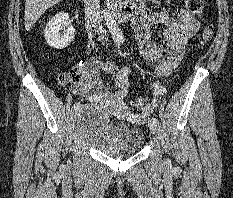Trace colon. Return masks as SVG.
I'll use <instances>...</instances> for the list:
<instances>
[{"instance_id":"colon-1","label":"colon","mask_w":233,"mask_h":198,"mask_svg":"<svg viewBox=\"0 0 233 198\" xmlns=\"http://www.w3.org/2000/svg\"><path fill=\"white\" fill-rule=\"evenodd\" d=\"M186 6L189 11L200 14L203 8V0H186ZM213 37V31L211 27H206L202 32V43L208 44ZM81 81V71L78 67L70 70L67 73L60 75V82L62 84L66 83H79ZM154 104L146 97H138L133 101V108L137 111H142L144 113H149Z\"/></svg>"}]
</instances>
